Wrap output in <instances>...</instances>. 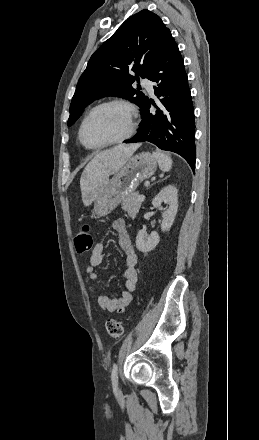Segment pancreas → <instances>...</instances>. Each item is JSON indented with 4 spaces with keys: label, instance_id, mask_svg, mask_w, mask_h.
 <instances>
[{
    "label": "pancreas",
    "instance_id": "cf45deb5",
    "mask_svg": "<svg viewBox=\"0 0 259 440\" xmlns=\"http://www.w3.org/2000/svg\"><path fill=\"white\" fill-rule=\"evenodd\" d=\"M138 196L139 194L135 192L122 200V209L131 217H135L141 207L142 202L138 200Z\"/></svg>",
    "mask_w": 259,
    "mask_h": 440
}]
</instances>
